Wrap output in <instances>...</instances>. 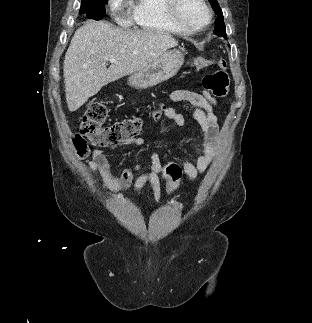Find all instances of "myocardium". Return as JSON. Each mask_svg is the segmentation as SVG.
<instances>
[{"instance_id":"obj_1","label":"myocardium","mask_w":312,"mask_h":323,"mask_svg":"<svg viewBox=\"0 0 312 323\" xmlns=\"http://www.w3.org/2000/svg\"><path fill=\"white\" fill-rule=\"evenodd\" d=\"M196 8H199L200 15L199 20H193L192 18H182L181 14L183 3L180 0H168L165 3V13L172 25H180V31H206V26L210 25L211 17H214V10H210L208 3L205 0H192ZM187 6V3H184Z\"/></svg>"}]
</instances>
